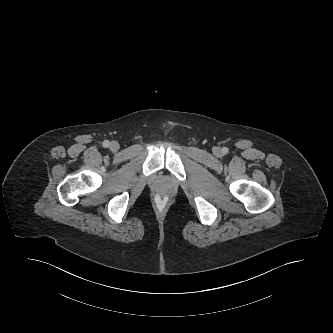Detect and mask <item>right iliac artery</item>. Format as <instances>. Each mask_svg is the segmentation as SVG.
<instances>
[{
    "label": "right iliac artery",
    "instance_id": "obj_1",
    "mask_svg": "<svg viewBox=\"0 0 333 333\" xmlns=\"http://www.w3.org/2000/svg\"><path fill=\"white\" fill-rule=\"evenodd\" d=\"M109 145H110V142L108 140L103 141V146L105 148L109 147Z\"/></svg>",
    "mask_w": 333,
    "mask_h": 333
}]
</instances>
